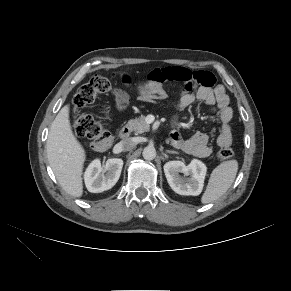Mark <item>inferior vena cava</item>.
<instances>
[{
    "mask_svg": "<svg viewBox=\"0 0 291 291\" xmlns=\"http://www.w3.org/2000/svg\"><path fill=\"white\" fill-rule=\"evenodd\" d=\"M119 145L122 150L129 151L136 146V142L134 141L133 138H126L120 141Z\"/></svg>",
    "mask_w": 291,
    "mask_h": 291,
    "instance_id": "obj_1",
    "label": "inferior vena cava"
}]
</instances>
